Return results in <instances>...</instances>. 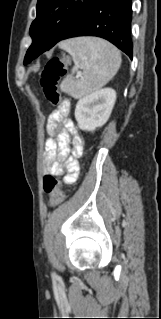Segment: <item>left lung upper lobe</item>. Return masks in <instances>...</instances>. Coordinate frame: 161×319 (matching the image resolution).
Wrapping results in <instances>:
<instances>
[{
    "mask_svg": "<svg viewBox=\"0 0 161 319\" xmlns=\"http://www.w3.org/2000/svg\"><path fill=\"white\" fill-rule=\"evenodd\" d=\"M96 0H38L36 19L30 27L33 43L26 56L41 53L58 43Z\"/></svg>",
    "mask_w": 161,
    "mask_h": 319,
    "instance_id": "1",
    "label": "left lung upper lobe"
}]
</instances>
